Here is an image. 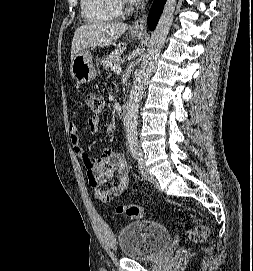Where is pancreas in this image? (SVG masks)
<instances>
[{"label": "pancreas", "mask_w": 253, "mask_h": 271, "mask_svg": "<svg viewBox=\"0 0 253 271\" xmlns=\"http://www.w3.org/2000/svg\"><path fill=\"white\" fill-rule=\"evenodd\" d=\"M121 54L122 51L120 49L114 50L110 55L102 60V65L106 69L113 70V67L116 65H120L121 63Z\"/></svg>", "instance_id": "pancreas-1"}]
</instances>
